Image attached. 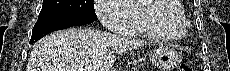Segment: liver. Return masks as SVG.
<instances>
[{"instance_id": "1", "label": "liver", "mask_w": 230, "mask_h": 71, "mask_svg": "<svg viewBox=\"0 0 230 71\" xmlns=\"http://www.w3.org/2000/svg\"><path fill=\"white\" fill-rule=\"evenodd\" d=\"M144 45L143 41L97 30L70 28L38 41L31 51L26 71H110L116 54Z\"/></svg>"}]
</instances>
